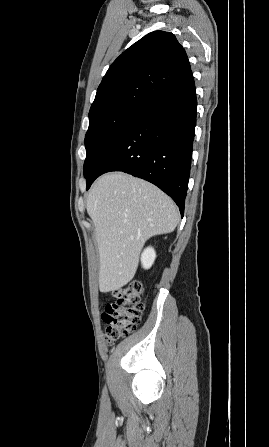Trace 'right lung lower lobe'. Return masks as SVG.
<instances>
[{
  "mask_svg": "<svg viewBox=\"0 0 269 447\" xmlns=\"http://www.w3.org/2000/svg\"><path fill=\"white\" fill-rule=\"evenodd\" d=\"M197 100L190 70L143 104L93 162L87 189L109 171H123L163 190L184 213Z\"/></svg>",
  "mask_w": 269,
  "mask_h": 447,
  "instance_id": "98d812e1",
  "label": "right lung lower lobe"
}]
</instances>
